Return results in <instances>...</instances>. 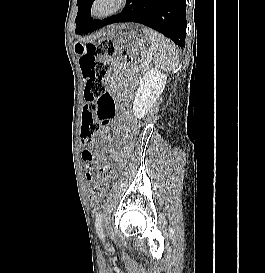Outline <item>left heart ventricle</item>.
Returning a JSON list of instances; mask_svg holds the SVG:
<instances>
[{
    "mask_svg": "<svg viewBox=\"0 0 265 273\" xmlns=\"http://www.w3.org/2000/svg\"><path fill=\"white\" fill-rule=\"evenodd\" d=\"M114 0H101V2L97 5V11L98 12H104L108 8L111 7Z\"/></svg>",
    "mask_w": 265,
    "mask_h": 273,
    "instance_id": "obj_1",
    "label": "left heart ventricle"
}]
</instances>
